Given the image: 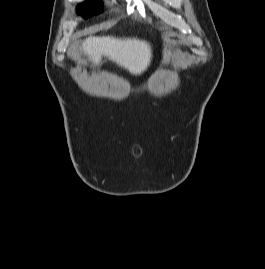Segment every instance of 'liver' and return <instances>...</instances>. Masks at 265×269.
Listing matches in <instances>:
<instances>
[{"mask_svg": "<svg viewBox=\"0 0 265 269\" xmlns=\"http://www.w3.org/2000/svg\"><path fill=\"white\" fill-rule=\"evenodd\" d=\"M82 49L95 66L101 63L102 57H106L135 75L147 69L152 57L149 43L136 38L91 36L84 40Z\"/></svg>", "mask_w": 265, "mask_h": 269, "instance_id": "liver-1", "label": "liver"}]
</instances>
